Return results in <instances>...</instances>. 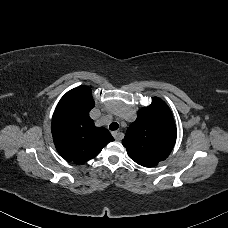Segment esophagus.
Wrapping results in <instances>:
<instances>
[{"mask_svg": "<svg viewBox=\"0 0 228 228\" xmlns=\"http://www.w3.org/2000/svg\"><path fill=\"white\" fill-rule=\"evenodd\" d=\"M112 135L116 140H120L122 138L123 133L122 132H113Z\"/></svg>", "mask_w": 228, "mask_h": 228, "instance_id": "34e87169", "label": "esophagus"}]
</instances>
